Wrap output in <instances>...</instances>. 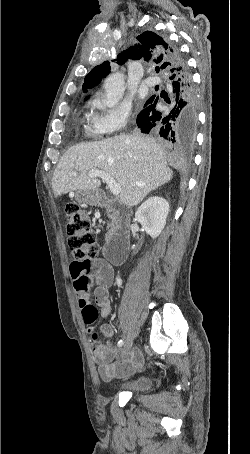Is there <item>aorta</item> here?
Returning a JSON list of instances; mask_svg holds the SVG:
<instances>
[{
  "label": "aorta",
  "mask_w": 250,
  "mask_h": 454,
  "mask_svg": "<svg viewBox=\"0 0 250 454\" xmlns=\"http://www.w3.org/2000/svg\"><path fill=\"white\" fill-rule=\"evenodd\" d=\"M104 89L103 103L107 107H115L125 92L124 75L120 72L109 75L105 80Z\"/></svg>",
  "instance_id": "obj_1"
}]
</instances>
